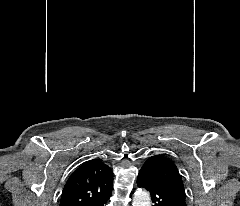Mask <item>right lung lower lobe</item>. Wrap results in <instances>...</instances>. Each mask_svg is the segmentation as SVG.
<instances>
[{"label":"right lung lower lobe","instance_id":"1","mask_svg":"<svg viewBox=\"0 0 240 206\" xmlns=\"http://www.w3.org/2000/svg\"><path fill=\"white\" fill-rule=\"evenodd\" d=\"M110 196H111V193L98 199L97 201L93 202L92 204H89L88 206H104L107 203Z\"/></svg>","mask_w":240,"mask_h":206}]
</instances>
